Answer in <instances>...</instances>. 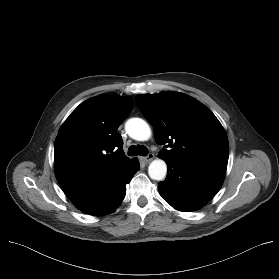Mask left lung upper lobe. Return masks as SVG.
Returning <instances> with one entry per match:
<instances>
[{"instance_id":"obj_1","label":"left lung upper lobe","mask_w":279,"mask_h":279,"mask_svg":"<svg viewBox=\"0 0 279 279\" xmlns=\"http://www.w3.org/2000/svg\"><path fill=\"white\" fill-rule=\"evenodd\" d=\"M136 103L154 128L157 144L169 150L159 157L177 163L225 171L229 144L215 115L198 100L178 92L137 95Z\"/></svg>"}]
</instances>
